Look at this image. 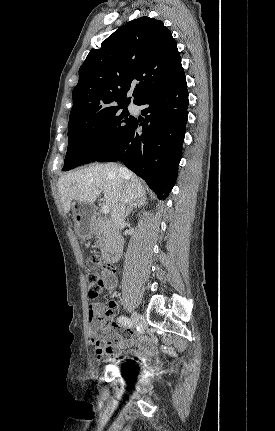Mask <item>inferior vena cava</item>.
Wrapping results in <instances>:
<instances>
[{
    "label": "inferior vena cava",
    "instance_id": "obj_1",
    "mask_svg": "<svg viewBox=\"0 0 275 431\" xmlns=\"http://www.w3.org/2000/svg\"><path fill=\"white\" fill-rule=\"evenodd\" d=\"M121 174L124 173L123 169H119ZM111 219L117 230H121L125 224V204L123 201L117 203L112 210Z\"/></svg>",
    "mask_w": 275,
    "mask_h": 431
}]
</instances>
